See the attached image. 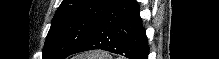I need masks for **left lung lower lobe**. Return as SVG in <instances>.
Listing matches in <instances>:
<instances>
[{"label":"left lung lower lobe","instance_id":"obj_1","mask_svg":"<svg viewBox=\"0 0 219 59\" xmlns=\"http://www.w3.org/2000/svg\"><path fill=\"white\" fill-rule=\"evenodd\" d=\"M136 0H112L94 32L72 54L101 49L128 59H148L147 36Z\"/></svg>","mask_w":219,"mask_h":59}]
</instances>
